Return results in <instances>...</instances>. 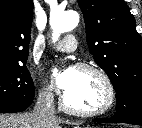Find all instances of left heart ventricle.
Returning a JSON list of instances; mask_svg holds the SVG:
<instances>
[{
	"label": "left heart ventricle",
	"instance_id": "left-heart-ventricle-1",
	"mask_svg": "<svg viewBox=\"0 0 142 128\" xmlns=\"http://www.w3.org/2000/svg\"><path fill=\"white\" fill-rule=\"evenodd\" d=\"M76 71V83L65 94L67 103L82 110H95L102 107L107 98V90L102 79L92 72Z\"/></svg>",
	"mask_w": 142,
	"mask_h": 128
}]
</instances>
